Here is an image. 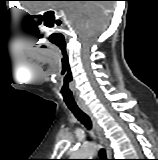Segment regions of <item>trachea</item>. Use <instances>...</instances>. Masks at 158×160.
<instances>
[{
    "label": "trachea",
    "instance_id": "obj_1",
    "mask_svg": "<svg viewBox=\"0 0 158 160\" xmlns=\"http://www.w3.org/2000/svg\"><path fill=\"white\" fill-rule=\"evenodd\" d=\"M68 108L87 129L90 130L92 128L90 118L77 105H68ZM99 156H100V160H108L104 149H101L99 151Z\"/></svg>",
    "mask_w": 158,
    "mask_h": 160
}]
</instances>
